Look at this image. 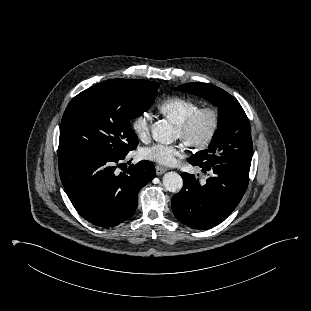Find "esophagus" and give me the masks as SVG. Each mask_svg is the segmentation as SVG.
<instances>
[{
    "label": "esophagus",
    "mask_w": 311,
    "mask_h": 311,
    "mask_svg": "<svg viewBox=\"0 0 311 311\" xmlns=\"http://www.w3.org/2000/svg\"><path fill=\"white\" fill-rule=\"evenodd\" d=\"M168 169L162 166H156V174L161 175L165 173Z\"/></svg>",
    "instance_id": "1"
}]
</instances>
